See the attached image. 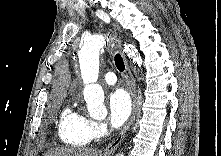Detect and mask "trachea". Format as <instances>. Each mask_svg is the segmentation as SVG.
<instances>
[{
	"mask_svg": "<svg viewBox=\"0 0 221 156\" xmlns=\"http://www.w3.org/2000/svg\"><path fill=\"white\" fill-rule=\"evenodd\" d=\"M115 65L120 72H123L125 69L124 61L120 54H116L114 57Z\"/></svg>",
	"mask_w": 221,
	"mask_h": 156,
	"instance_id": "1",
	"label": "trachea"
}]
</instances>
